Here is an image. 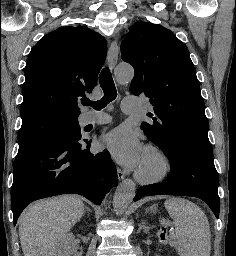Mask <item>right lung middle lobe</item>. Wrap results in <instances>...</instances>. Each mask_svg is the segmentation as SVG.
<instances>
[{
  "mask_svg": "<svg viewBox=\"0 0 236 256\" xmlns=\"http://www.w3.org/2000/svg\"><path fill=\"white\" fill-rule=\"evenodd\" d=\"M78 118L63 116L54 111H44L22 119L18 141L21 152L46 140L68 137L81 138Z\"/></svg>",
  "mask_w": 236,
  "mask_h": 256,
  "instance_id": "obj_1",
  "label": "right lung middle lobe"
}]
</instances>
